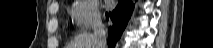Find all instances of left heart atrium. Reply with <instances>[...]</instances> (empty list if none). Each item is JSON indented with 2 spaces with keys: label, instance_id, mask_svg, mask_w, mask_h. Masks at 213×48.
Masks as SVG:
<instances>
[{
  "label": "left heart atrium",
  "instance_id": "obj_1",
  "mask_svg": "<svg viewBox=\"0 0 213 48\" xmlns=\"http://www.w3.org/2000/svg\"><path fill=\"white\" fill-rule=\"evenodd\" d=\"M109 5H110V2H107V3H106V6H109Z\"/></svg>",
  "mask_w": 213,
  "mask_h": 48
}]
</instances>
